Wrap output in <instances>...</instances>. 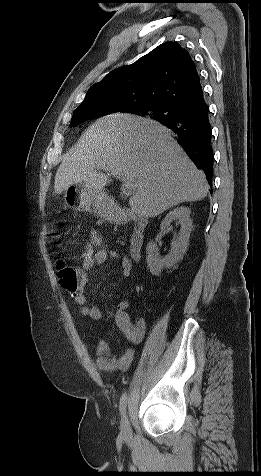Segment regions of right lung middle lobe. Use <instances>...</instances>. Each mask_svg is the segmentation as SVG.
I'll return each mask as SVG.
<instances>
[{"mask_svg":"<svg viewBox=\"0 0 261 476\" xmlns=\"http://www.w3.org/2000/svg\"><path fill=\"white\" fill-rule=\"evenodd\" d=\"M178 109L165 105H149L135 110L134 114L147 116L157 121H161L167 117L173 116ZM115 112H127L121 105H110L104 103H91L82 105L76 108L74 111L70 126L77 125L85 120L100 117L103 115L115 113Z\"/></svg>","mask_w":261,"mask_h":476,"instance_id":"dd1d6c3e","label":"right lung middle lobe"}]
</instances>
